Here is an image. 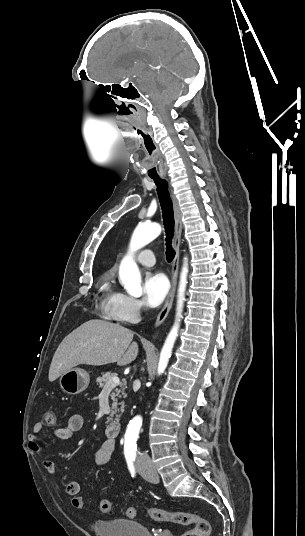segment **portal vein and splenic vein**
Here are the masks:
<instances>
[{
    "label": "portal vein and splenic vein",
    "mask_w": 305,
    "mask_h": 536,
    "mask_svg": "<svg viewBox=\"0 0 305 536\" xmlns=\"http://www.w3.org/2000/svg\"><path fill=\"white\" fill-rule=\"evenodd\" d=\"M116 384H120V380L119 378H117V376H114V378H111L110 382H107V384H105L104 390L105 388H113V386H116Z\"/></svg>",
    "instance_id": "18ae733b"
}]
</instances>
